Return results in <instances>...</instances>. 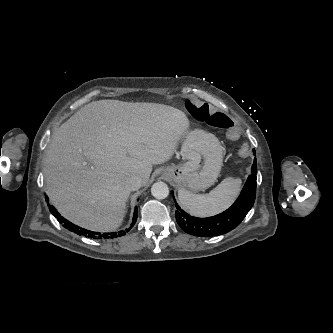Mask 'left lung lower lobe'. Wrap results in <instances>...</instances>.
Listing matches in <instances>:
<instances>
[{
	"label": "left lung lower lobe",
	"instance_id": "left-lung-lower-lobe-1",
	"mask_svg": "<svg viewBox=\"0 0 333 333\" xmlns=\"http://www.w3.org/2000/svg\"><path fill=\"white\" fill-rule=\"evenodd\" d=\"M254 155L255 150H253ZM251 175L234 204L226 211L208 218H197L190 216L183 211L177 202L176 221L178 225L187 233L199 237H211L225 234L237 227L252 208L256 197V158L252 165Z\"/></svg>",
	"mask_w": 333,
	"mask_h": 333
}]
</instances>
